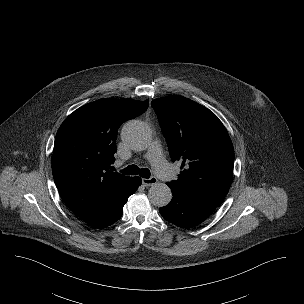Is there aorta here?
I'll list each match as a JSON object with an SVG mask.
<instances>
[{"label": "aorta", "mask_w": 304, "mask_h": 304, "mask_svg": "<svg viewBox=\"0 0 304 304\" xmlns=\"http://www.w3.org/2000/svg\"><path fill=\"white\" fill-rule=\"evenodd\" d=\"M121 136L129 148L143 150L150 142L151 131L143 122L130 121L123 127ZM148 198L153 205L163 207L171 202L172 192L165 183H156L150 187Z\"/></svg>", "instance_id": "aorta-1"}]
</instances>
